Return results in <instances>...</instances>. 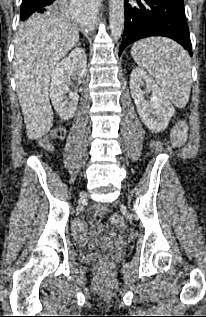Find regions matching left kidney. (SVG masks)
I'll return each mask as SVG.
<instances>
[{
  "instance_id": "obj_1",
  "label": "left kidney",
  "mask_w": 206,
  "mask_h": 317,
  "mask_svg": "<svg viewBox=\"0 0 206 317\" xmlns=\"http://www.w3.org/2000/svg\"><path fill=\"white\" fill-rule=\"evenodd\" d=\"M151 92L149 100H145V91ZM131 95L137 107L142 122L152 132L164 130L175 113V109L167 96L158 87L155 81L143 69H133L130 76Z\"/></svg>"
}]
</instances>
